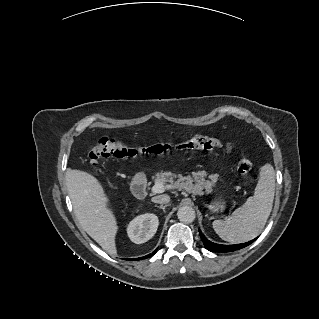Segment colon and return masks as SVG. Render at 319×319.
Segmentation results:
<instances>
[{"instance_id":"1","label":"colon","mask_w":319,"mask_h":319,"mask_svg":"<svg viewBox=\"0 0 319 319\" xmlns=\"http://www.w3.org/2000/svg\"><path fill=\"white\" fill-rule=\"evenodd\" d=\"M223 147V144L215 138L194 136L185 140L158 143L149 145H135L121 140L104 137L87 150L90 165L98 170L103 158H127L138 154L160 155L169 151L186 152L192 150H214ZM237 170L241 174H248L252 170V163L247 159L237 162Z\"/></svg>"}]
</instances>
